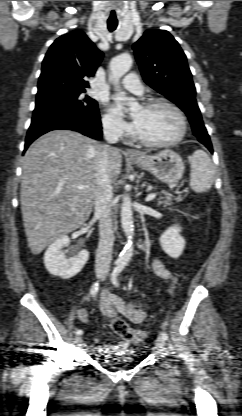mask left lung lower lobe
I'll return each instance as SVG.
<instances>
[{"mask_svg": "<svg viewBox=\"0 0 242 416\" xmlns=\"http://www.w3.org/2000/svg\"><path fill=\"white\" fill-rule=\"evenodd\" d=\"M202 144H204L208 149H209V151L211 152V153H213V149H212V144H211V141H210V139L209 140H206V141H203V142H201Z\"/></svg>", "mask_w": 242, "mask_h": 416, "instance_id": "1", "label": "left lung lower lobe"}]
</instances>
